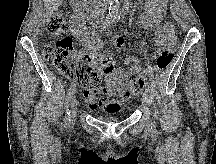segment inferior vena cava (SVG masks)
Here are the masks:
<instances>
[{
	"mask_svg": "<svg viewBox=\"0 0 216 164\" xmlns=\"http://www.w3.org/2000/svg\"><path fill=\"white\" fill-rule=\"evenodd\" d=\"M100 1L105 2L106 0H100Z\"/></svg>",
	"mask_w": 216,
	"mask_h": 164,
	"instance_id": "1",
	"label": "inferior vena cava"
}]
</instances>
